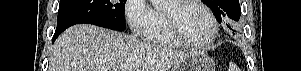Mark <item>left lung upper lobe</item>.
I'll return each mask as SVG.
<instances>
[{"mask_svg": "<svg viewBox=\"0 0 301 71\" xmlns=\"http://www.w3.org/2000/svg\"><path fill=\"white\" fill-rule=\"evenodd\" d=\"M215 12L219 21L222 22L224 17H229L235 21L240 19L241 8L239 0H204Z\"/></svg>", "mask_w": 301, "mask_h": 71, "instance_id": "left-lung-upper-lobe-1", "label": "left lung upper lobe"}]
</instances>
